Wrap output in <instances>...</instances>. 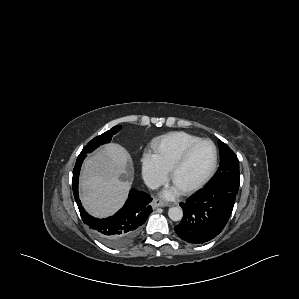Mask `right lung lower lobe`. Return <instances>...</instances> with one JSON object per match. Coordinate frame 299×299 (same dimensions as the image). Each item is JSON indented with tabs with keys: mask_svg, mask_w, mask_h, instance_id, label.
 I'll return each mask as SVG.
<instances>
[{
	"mask_svg": "<svg viewBox=\"0 0 299 299\" xmlns=\"http://www.w3.org/2000/svg\"><path fill=\"white\" fill-rule=\"evenodd\" d=\"M84 158L85 156H78L72 178L73 193L82 220L106 245L113 248L125 247L135 239L141 225L152 212L149 205L152 199L145 192L132 189L125 205L115 215L105 219L90 216L82 207L78 196V178Z\"/></svg>",
	"mask_w": 299,
	"mask_h": 299,
	"instance_id": "1",
	"label": "right lung lower lobe"
}]
</instances>
